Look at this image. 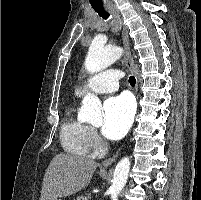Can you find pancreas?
Masks as SVG:
<instances>
[{"label":"pancreas","mask_w":201,"mask_h":200,"mask_svg":"<svg viewBox=\"0 0 201 200\" xmlns=\"http://www.w3.org/2000/svg\"><path fill=\"white\" fill-rule=\"evenodd\" d=\"M74 200H89V197H88V195H81V196H78Z\"/></svg>","instance_id":"obj_1"}]
</instances>
